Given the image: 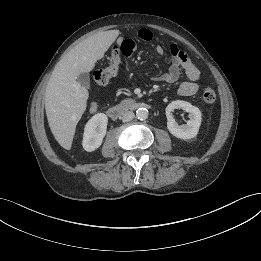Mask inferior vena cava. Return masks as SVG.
Segmentation results:
<instances>
[{"instance_id":"602c4592","label":"inferior vena cava","mask_w":261,"mask_h":261,"mask_svg":"<svg viewBox=\"0 0 261 261\" xmlns=\"http://www.w3.org/2000/svg\"><path fill=\"white\" fill-rule=\"evenodd\" d=\"M134 113L132 111H126L122 114V121L123 122H128V121H131L133 118H134Z\"/></svg>"}]
</instances>
